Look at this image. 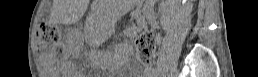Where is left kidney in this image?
<instances>
[{
  "label": "left kidney",
  "mask_w": 258,
  "mask_h": 77,
  "mask_svg": "<svg viewBox=\"0 0 258 77\" xmlns=\"http://www.w3.org/2000/svg\"><path fill=\"white\" fill-rule=\"evenodd\" d=\"M184 2H186V0H183V3H184ZM191 11H192V8H187V9H186V13H187V14L191 13Z\"/></svg>",
  "instance_id": "left-kidney-1"
}]
</instances>
